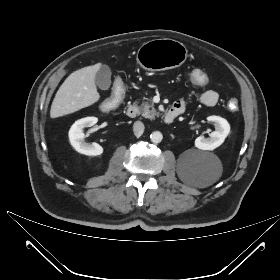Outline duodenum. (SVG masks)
Returning a JSON list of instances; mask_svg holds the SVG:
<instances>
[{"mask_svg":"<svg viewBox=\"0 0 280 280\" xmlns=\"http://www.w3.org/2000/svg\"><path fill=\"white\" fill-rule=\"evenodd\" d=\"M182 109L181 108H177V107H171L167 110V112L165 113L164 116V121L165 123L169 124L172 123L174 121V119L182 113ZM138 114V107L135 104H129L126 107V115L130 118H135Z\"/></svg>","mask_w":280,"mask_h":280,"instance_id":"410a0bca","label":"duodenum"}]
</instances>
